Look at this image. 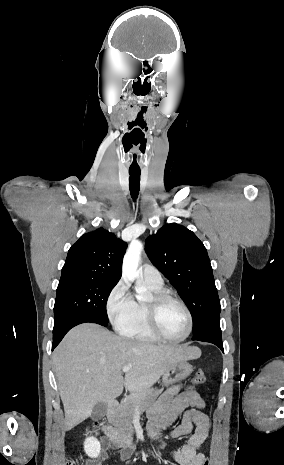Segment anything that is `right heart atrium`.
<instances>
[{
	"instance_id": "d8ad5b80",
	"label": "right heart atrium",
	"mask_w": 284,
	"mask_h": 465,
	"mask_svg": "<svg viewBox=\"0 0 284 465\" xmlns=\"http://www.w3.org/2000/svg\"><path fill=\"white\" fill-rule=\"evenodd\" d=\"M134 305L135 301L129 293L128 286L124 279H121L106 298V315L112 324L118 325L130 316Z\"/></svg>"
}]
</instances>
